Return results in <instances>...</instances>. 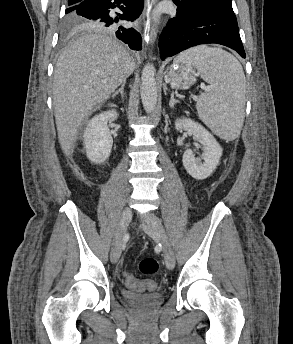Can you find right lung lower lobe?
<instances>
[{
    "label": "right lung lower lobe",
    "instance_id": "obj_1",
    "mask_svg": "<svg viewBox=\"0 0 293 344\" xmlns=\"http://www.w3.org/2000/svg\"><path fill=\"white\" fill-rule=\"evenodd\" d=\"M144 6V0H82L76 4L75 12L94 24L93 29H104L122 40L133 50L141 49V35L133 28L121 25V20L137 19ZM119 8L123 14L112 13Z\"/></svg>",
    "mask_w": 293,
    "mask_h": 344
}]
</instances>
